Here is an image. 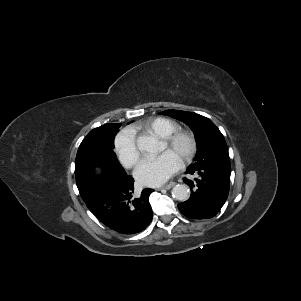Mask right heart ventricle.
Returning a JSON list of instances; mask_svg holds the SVG:
<instances>
[{"label": "right heart ventricle", "instance_id": "1", "mask_svg": "<svg viewBox=\"0 0 301 301\" xmlns=\"http://www.w3.org/2000/svg\"><path fill=\"white\" fill-rule=\"evenodd\" d=\"M138 129H142L145 132L151 133L160 138H164L177 131L179 129V125L171 119L157 117L146 121L142 125L131 128L133 132L137 131Z\"/></svg>", "mask_w": 301, "mask_h": 301}]
</instances>
